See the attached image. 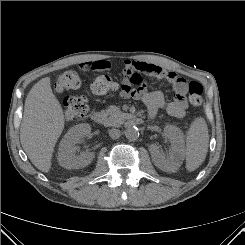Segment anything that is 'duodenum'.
I'll return each instance as SVG.
<instances>
[{"label":"duodenum","mask_w":245,"mask_h":245,"mask_svg":"<svg viewBox=\"0 0 245 245\" xmlns=\"http://www.w3.org/2000/svg\"><path fill=\"white\" fill-rule=\"evenodd\" d=\"M91 119L96 124H103L105 121V117L102 112L95 111L91 114ZM128 123L131 125H140L143 123V119L138 116H132L128 119Z\"/></svg>","instance_id":"duodenum-1"}]
</instances>
